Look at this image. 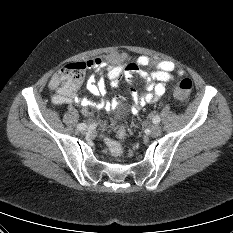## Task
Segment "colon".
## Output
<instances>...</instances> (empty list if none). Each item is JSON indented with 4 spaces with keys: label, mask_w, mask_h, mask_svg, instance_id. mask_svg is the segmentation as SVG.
I'll return each mask as SVG.
<instances>
[{
    "label": "colon",
    "mask_w": 233,
    "mask_h": 233,
    "mask_svg": "<svg viewBox=\"0 0 233 233\" xmlns=\"http://www.w3.org/2000/svg\"><path fill=\"white\" fill-rule=\"evenodd\" d=\"M87 62L69 63L59 69L54 75V82L58 88L65 93H72L78 90L87 69ZM193 88V82L189 78L179 80L174 88V96L183 100L188 97ZM126 136V130L122 123L115 128V135L106 134L105 142L111 154L120 158L123 155L121 141Z\"/></svg>",
    "instance_id": "obj_1"
}]
</instances>
